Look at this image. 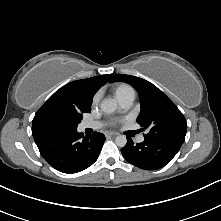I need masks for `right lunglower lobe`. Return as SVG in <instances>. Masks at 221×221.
<instances>
[{"label": "right lung lower lobe", "mask_w": 221, "mask_h": 221, "mask_svg": "<svg viewBox=\"0 0 221 221\" xmlns=\"http://www.w3.org/2000/svg\"><path fill=\"white\" fill-rule=\"evenodd\" d=\"M105 136L94 132L83 138L76 130L50 135L36 143L42 157L60 172L71 174L91 166L99 156Z\"/></svg>", "instance_id": "98d812e1"}]
</instances>
